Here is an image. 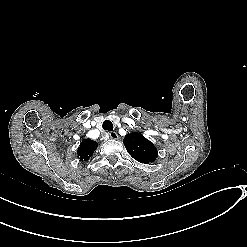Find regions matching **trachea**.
Here are the masks:
<instances>
[{"label": "trachea", "instance_id": "1", "mask_svg": "<svg viewBox=\"0 0 247 247\" xmlns=\"http://www.w3.org/2000/svg\"><path fill=\"white\" fill-rule=\"evenodd\" d=\"M102 127L104 128V130H107V131H112L113 130V124L109 120H105L103 122V124H102Z\"/></svg>", "mask_w": 247, "mask_h": 247}]
</instances>
